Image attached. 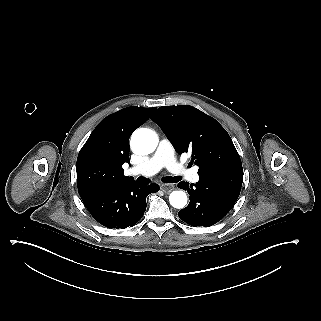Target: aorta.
Wrapping results in <instances>:
<instances>
[{
  "instance_id": "aorta-1",
  "label": "aorta",
  "mask_w": 321,
  "mask_h": 321,
  "mask_svg": "<svg viewBox=\"0 0 321 321\" xmlns=\"http://www.w3.org/2000/svg\"><path fill=\"white\" fill-rule=\"evenodd\" d=\"M158 141L154 131L140 128L133 132L130 145L136 154L147 155L156 149ZM169 202L174 208L182 209L187 204V195L184 191H173L169 196Z\"/></svg>"
}]
</instances>
